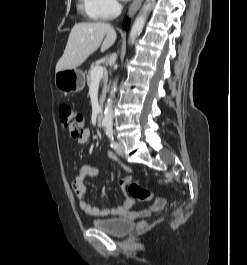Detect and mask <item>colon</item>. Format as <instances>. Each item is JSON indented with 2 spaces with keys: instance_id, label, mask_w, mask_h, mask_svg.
<instances>
[{
  "instance_id": "1",
  "label": "colon",
  "mask_w": 247,
  "mask_h": 265,
  "mask_svg": "<svg viewBox=\"0 0 247 265\" xmlns=\"http://www.w3.org/2000/svg\"><path fill=\"white\" fill-rule=\"evenodd\" d=\"M59 118L63 127L69 132L75 140H80L84 135V118L71 106L64 104L59 108ZM121 188L130 197L139 201H149L152 199V193L140 186L137 182L131 180L121 181Z\"/></svg>"
}]
</instances>
